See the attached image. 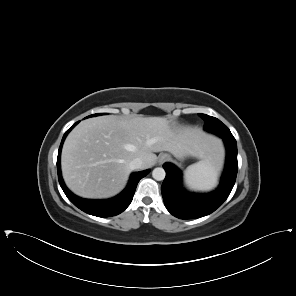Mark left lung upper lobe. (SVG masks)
<instances>
[{
    "instance_id": "1",
    "label": "left lung upper lobe",
    "mask_w": 296,
    "mask_h": 296,
    "mask_svg": "<svg viewBox=\"0 0 296 296\" xmlns=\"http://www.w3.org/2000/svg\"><path fill=\"white\" fill-rule=\"evenodd\" d=\"M204 120H205V125H204V129L214 133L218 136H220L221 138L224 136H233L230 132V130L228 129V127L226 125H224L220 120H218L215 117L212 116H208L205 114H199Z\"/></svg>"
}]
</instances>
